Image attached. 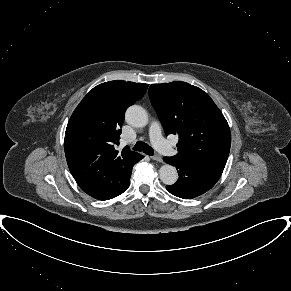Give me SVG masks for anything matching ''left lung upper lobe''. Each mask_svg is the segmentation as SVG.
Returning <instances> with one entry per match:
<instances>
[{
	"label": "left lung upper lobe",
	"mask_w": 291,
	"mask_h": 291,
	"mask_svg": "<svg viewBox=\"0 0 291 291\" xmlns=\"http://www.w3.org/2000/svg\"><path fill=\"white\" fill-rule=\"evenodd\" d=\"M148 94L166 135L179 136L175 157L226 164L230 128L207 93L186 82H171L152 84Z\"/></svg>",
	"instance_id": "obj_1"
}]
</instances>
